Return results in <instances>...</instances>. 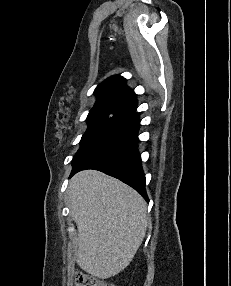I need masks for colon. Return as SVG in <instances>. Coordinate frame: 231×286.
Masks as SVG:
<instances>
[{"label":"colon","instance_id":"1","mask_svg":"<svg viewBox=\"0 0 231 286\" xmlns=\"http://www.w3.org/2000/svg\"><path fill=\"white\" fill-rule=\"evenodd\" d=\"M75 286H115L105 281L84 273H78L75 277Z\"/></svg>","mask_w":231,"mask_h":286}]
</instances>
